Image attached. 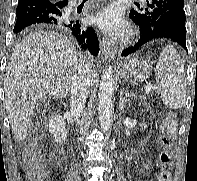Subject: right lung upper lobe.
<instances>
[{
    "mask_svg": "<svg viewBox=\"0 0 197 181\" xmlns=\"http://www.w3.org/2000/svg\"><path fill=\"white\" fill-rule=\"evenodd\" d=\"M52 2H58V1H68V0H50Z\"/></svg>",
    "mask_w": 197,
    "mask_h": 181,
    "instance_id": "right-lung-upper-lobe-1",
    "label": "right lung upper lobe"
}]
</instances>
